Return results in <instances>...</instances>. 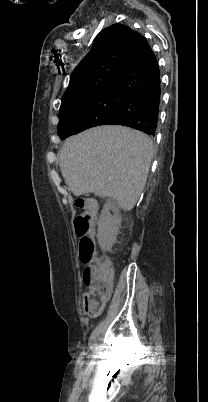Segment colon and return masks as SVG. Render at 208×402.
I'll return each mask as SVG.
<instances>
[{
    "mask_svg": "<svg viewBox=\"0 0 208 402\" xmlns=\"http://www.w3.org/2000/svg\"><path fill=\"white\" fill-rule=\"evenodd\" d=\"M92 219L89 213L74 220L76 235L81 240L77 253L80 263L86 265L83 280L88 286L83 294V307L85 314H102V308L106 307L108 296L112 293L111 280L114 267L110 262H99L96 257L94 234L89 232ZM107 261V260H106Z\"/></svg>",
    "mask_w": 208,
    "mask_h": 402,
    "instance_id": "colon-1",
    "label": "colon"
}]
</instances>
